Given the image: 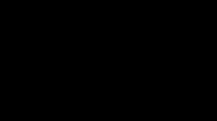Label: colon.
<instances>
[{
	"instance_id": "obj_1",
	"label": "colon",
	"mask_w": 217,
	"mask_h": 121,
	"mask_svg": "<svg viewBox=\"0 0 217 121\" xmlns=\"http://www.w3.org/2000/svg\"><path fill=\"white\" fill-rule=\"evenodd\" d=\"M185 2V1H182ZM62 18L57 12H51L41 24V29L45 35L52 36L56 33Z\"/></svg>"
}]
</instances>
